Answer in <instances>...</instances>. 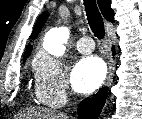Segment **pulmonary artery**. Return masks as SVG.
Wrapping results in <instances>:
<instances>
[{
    "label": "pulmonary artery",
    "instance_id": "e3ab8cb5",
    "mask_svg": "<svg viewBox=\"0 0 142 119\" xmlns=\"http://www.w3.org/2000/svg\"><path fill=\"white\" fill-rule=\"evenodd\" d=\"M76 48L82 54H89L94 50V42L90 37H82L77 41Z\"/></svg>",
    "mask_w": 142,
    "mask_h": 119
}]
</instances>
